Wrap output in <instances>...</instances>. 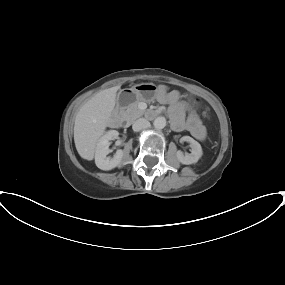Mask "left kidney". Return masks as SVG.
Instances as JSON below:
<instances>
[{"mask_svg":"<svg viewBox=\"0 0 285 285\" xmlns=\"http://www.w3.org/2000/svg\"><path fill=\"white\" fill-rule=\"evenodd\" d=\"M180 141L190 143L191 153L183 154V152L178 151L177 152L178 161L185 165L197 163L203 154L201 145L190 136H183L180 139Z\"/></svg>","mask_w":285,"mask_h":285,"instance_id":"5707ae66","label":"left kidney"}]
</instances>
